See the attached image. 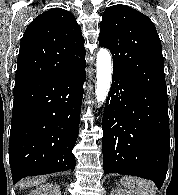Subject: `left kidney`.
Segmentation results:
<instances>
[{
    "instance_id": "left-kidney-1",
    "label": "left kidney",
    "mask_w": 178,
    "mask_h": 195,
    "mask_svg": "<svg viewBox=\"0 0 178 195\" xmlns=\"http://www.w3.org/2000/svg\"><path fill=\"white\" fill-rule=\"evenodd\" d=\"M110 195H132V193L122 188H115Z\"/></svg>"
}]
</instances>
